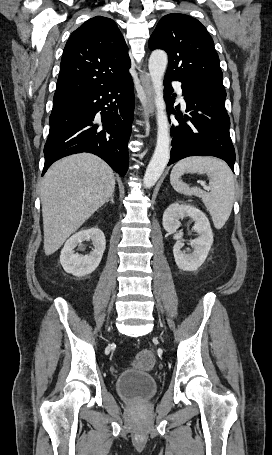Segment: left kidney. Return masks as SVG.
Listing matches in <instances>:
<instances>
[{
    "instance_id": "obj_1",
    "label": "left kidney",
    "mask_w": 272,
    "mask_h": 455,
    "mask_svg": "<svg viewBox=\"0 0 272 455\" xmlns=\"http://www.w3.org/2000/svg\"><path fill=\"white\" fill-rule=\"evenodd\" d=\"M184 217H190L195 221L193 229L199 235L190 242L194 250L189 254L181 250L184 245L183 233H177V229L181 225L179 220ZM162 224L168 233L174 234L173 238L176 243L173 247V254L177 266L184 271H196L206 260L213 243V233L206 215L194 206L173 203L165 210Z\"/></svg>"
}]
</instances>
